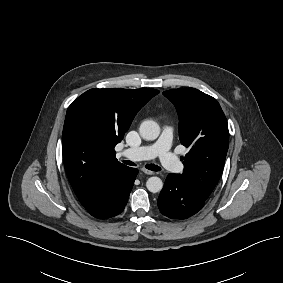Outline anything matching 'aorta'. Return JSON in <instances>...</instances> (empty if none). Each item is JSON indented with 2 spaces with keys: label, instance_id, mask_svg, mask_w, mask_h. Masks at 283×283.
<instances>
[{
  "label": "aorta",
  "instance_id": "1",
  "mask_svg": "<svg viewBox=\"0 0 283 283\" xmlns=\"http://www.w3.org/2000/svg\"><path fill=\"white\" fill-rule=\"evenodd\" d=\"M140 135L143 139L152 141L158 138L160 134L159 125L153 120H145L139 128ZM147 189L152 193L160 192L163 188V182L159 177H150L146 182Z\"/></svg>",
  "mask_w": 283,
  "mask_h": 283
}]
</instances>
